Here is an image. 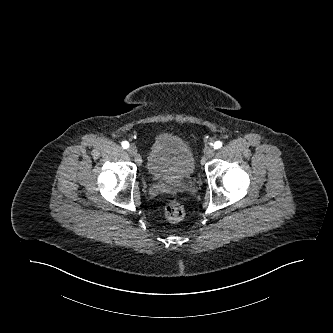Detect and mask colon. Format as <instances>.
<instances>
[{
    "label": "colon",
    "mask_w": 333,
    "mask_h": 333,
    "mask_svg": "<svg viewBox=\"0 0 333 333\" xmlns=\"http://www.w3.org/2000/svg\"><path fill=\"white\" fill-rule=\"evenodd\" d=\"M164 214L170 221L176 222L184 217V209L177 202H170L164 208Z\"/></svg>",
    "instance_id": "5ec220e1"
}]
</instances>
